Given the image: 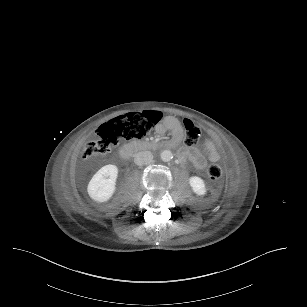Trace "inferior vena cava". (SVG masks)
<instances>
[{"label": "inferior vena cava", "mask_w": 307, "mask_h": 307, "mask_svg": "<svg viewBox=\"0 0 307 307\" xmlns=\"http://www.w3.org/2000/svg\"><path fill=\"white\" fill-rule=\"evenodd\" d=\"M153 160V155L150 151L138 152L134 157V163L138 166L150 164Z\"/></svg>", "instance_id": "602c4592"}]
</instances>
